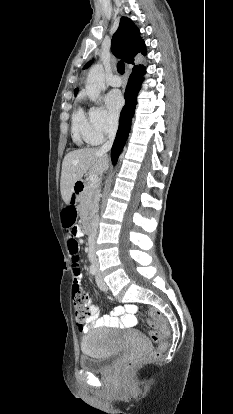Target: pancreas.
<instances>
[{
  "label": "pancreas",
  "mask_w": 233,
  "mask_h": 414,
  "mask_svg": "<svg viewBox=\"0 0 233 414\" xmlns=\"http://www.w3.org/2000/svg\"><path fill=\"white\" fill-rule=\"evenodd\" d=\"M79 214L81 218L90 216L91 211L98 203V186L90 181L86 183L84 192L79 196Z\"/></svg>",
  "instance_id": "pancreas-1"
}]
</instances>
